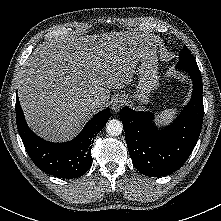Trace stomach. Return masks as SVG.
Wrapping results in <instances>:
<instances>
[{
    "instance_id": "0dacf381",
    "label": "stomach",
    "mask_w": 221,
    "mask_h": 221,
    "mask_svg": "<svg viewBox=\"0 0 221 221\" xmlns=\"http://www.w3.org/2000/svg\"><path fill=\"white\" fill-rule=\"evenodd\" d=\"M156 54L140 58L138 73V84L134 97L140 103L146 104L149 101V94L159 86L158 62Z\"/></svg>"
}]
</instances>
